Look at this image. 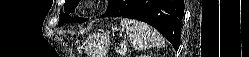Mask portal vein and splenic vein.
<instances>
[{"label":"portal vein and splenic vein","instance_id":"1","mask_svg":"<svg viewBox=\"0 0 249 57\" xmlns=\"http://www.w3.org/2000/svg\"><path fill=\"white\" fill-rule=\"evenodd\" d=\"M119 53L121 55H125L126 51H125V47H121V49L119 50Z\"/></svg>","mask_w":249,"mask_h":57}]
</instances>
